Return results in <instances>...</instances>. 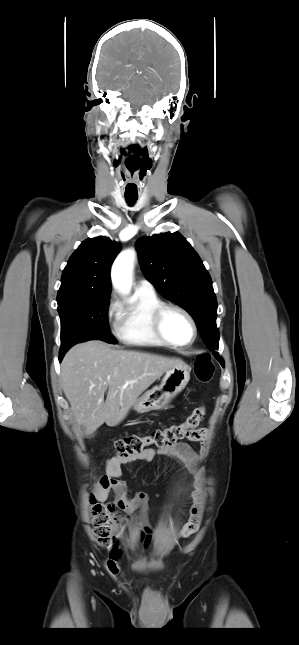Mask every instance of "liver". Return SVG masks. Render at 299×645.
<instances>
[{
	"instance_id": "liver-1",
	"label": "liver",
	"mask_w": 299,
	"mask_h": 645,
	"mask_svg": "<svg viewBox=\"0 0 299 645\" xmlns=\"http://www.w3.org/2000/svg\"><path fill=\"white\" fill-rule=\"evenodd\" d=\"M180 362L178 358L114 349L94 340L77 344L66 353L60 380L77 424L90 434L104 423L110 427L120 424L138 397Z\"/></svg>"
}]
</instances>
